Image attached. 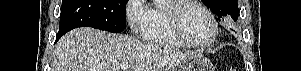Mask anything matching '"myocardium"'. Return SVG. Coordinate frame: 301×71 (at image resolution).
I'll return each instance as SVG.
<instances>
[{
    "mask_svg": "<svg viewBox=\"0 0 301 71\" xmlns=\"http://www.w3.org/2000/svg\"><path fill=\"white\" fill-rule=\"evenodd\" d=\"M190 6H196L201 8L204 11V13L208 16V18L210 19L213 25L212 38L206 43L193 42L188 38L185 32L182 16H183V12ZM164 9L174 34L185 45L192 48L205 49L212 46L217 40L218 33H219L218 23L215 19V16L212 14V12L201 2L194 1V0H175V1L170 0L166 4Z\"/></svg>",
    "mask_w": 301,
    "mask_h": 71,
    "instance_id": "f54148a6",
    "label": "myocardium"
}]
</instances>
